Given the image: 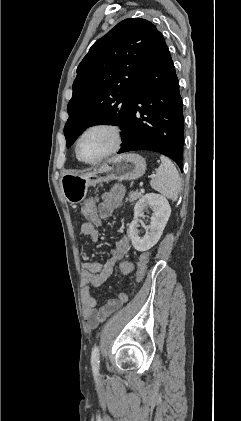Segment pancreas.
Instances as JSON below:
<instances>
[{
    "instance_id": "obj_1",
    "label": "pancreas",
    "mask_w": 241,
    "mask_h": 421,
    "mask_svg": "<svg viewBox=\"0 0 241 421\" xmlns=\"http://www.w3.org/2000/svg\"><path fill=\"white\" fill-rule=\"evenodd\" d=\"M142 195H141V193H139L138 191H131L130 193H129V196H128V200L130 201V202H134L135 200H137L138 198H140Z\"/></svg>"
}]
</instances>
